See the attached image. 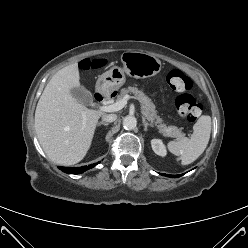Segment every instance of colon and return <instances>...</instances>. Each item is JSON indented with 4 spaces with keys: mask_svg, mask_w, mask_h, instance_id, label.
I'll return each mask as SVG.
<instances>
[{
    "mask_svg": "<svg viewBox=\"0 0 248 248\" xmlns=\"http://www.w3.org/2000/svg\"><path fill=\"white\" fill-rule=\"evenodd\" d=\"M98 63V60L88 59L82 66L88 69ZM167 82L174 91L180 93L175 101L178 114L189 122H195L201 115L202 106L193 95L188 93L192 88L191 79L181 70L173 69L167 75Z\"/></svg>",
    "mask_w": 248,
    "mask_h": 248,
    "instance_id": "obj_1",
    "label": "colon"
}]
</instances>
